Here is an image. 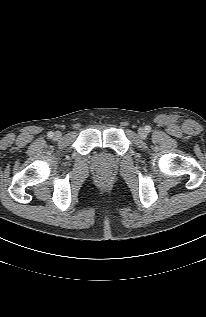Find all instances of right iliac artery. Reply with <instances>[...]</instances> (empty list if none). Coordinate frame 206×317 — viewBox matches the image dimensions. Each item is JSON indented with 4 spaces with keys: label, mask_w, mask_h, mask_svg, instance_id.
Segmentation results:
<instances>
[{
    "label": "right iliac artery",
    "mask_w": 206,
    "mask_h": 317,
    "mask_svg": "<svg viewBox=\"0 0 206 317\" xmlns=\"http://www.w3.org/2000/svg\"><path fill=\"white\" fill-rule=\"evenodd\" d=\"M53 136H54V133H53V132H51V131L48 132V137H49V138H52Z\"/></svg>",
    "instance_id": "obj_1"
}]
</instances>
